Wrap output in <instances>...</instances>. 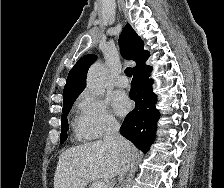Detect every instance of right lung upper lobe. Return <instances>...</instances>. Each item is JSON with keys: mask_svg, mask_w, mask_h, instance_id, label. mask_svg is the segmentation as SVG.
I'll return each mask as SVG.
<instances>
[{"mask_svg": "<svg viewBox=\"0 0 224 188\" xmlns=\"http://www.w3.org/2000/svg\"><path fill=\"white\" fill-rule=\"evenodd\" d=\"M119 45L123 57L127 60H134L137 63L136 67L133 68V72L145 66L149 52L144 51V42L130 24H127L120 34ZM95 59L96 56L93 54L85 55L70 70L64 87V99L80 94L84 90L87 71Z\"/></svg>", "mask_w": 224, "mask_h": 188, "instance_id": "obj_1", "label": "right lung upper lobe"}]
</instances>
